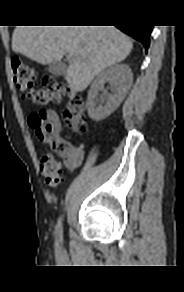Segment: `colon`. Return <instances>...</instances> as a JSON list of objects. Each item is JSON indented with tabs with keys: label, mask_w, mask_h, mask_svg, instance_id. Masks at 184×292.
I'll list each match as a JSON object with an SVG mask.
<instances>
[{
	"label": "colon",
	"mask_w": 184,
	"mask_h": 292,
	"mask_svg": "<svg viewBox=\"0 0 184 292\" xmlns=\"http://www.w3.org/2000/svg\"><path fill=\"white\" fill-rule=\"evenodd\" d=\"M11 66L16 87L24 93L27 100L41 108L30 116L29 124L38 141L50 147L41 157L40 168L46 183L57 187L61 183L59 159L67 158L71 148L59 137L60 122L57 114L47 107L68 95L69 100L61 114V120L74 132L83 133L87 128L83 98L53 76L45 77L42 87L35 89L36 74L30 65L15 57Z\"/></svg>",
	"instance_id": "5ec220e1"
}]
</instances>
